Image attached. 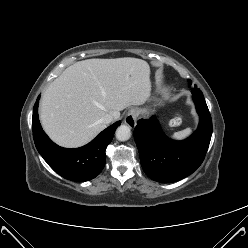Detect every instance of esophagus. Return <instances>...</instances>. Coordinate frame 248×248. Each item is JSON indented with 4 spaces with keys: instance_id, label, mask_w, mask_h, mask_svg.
Segmentation results:
<instances>
[{
    "instance_id": "obj_1",
    "label": "esophagus",
    "mask_w": 248,
    "mask_h": 248,
    "mask_svg": "<svg viewBox=\"0 0 248 248\" xmlns=\"http://www.w3.org/2000/svg\"><path fill=\"white\" fill-rule=\"evenodd\" d=\"M138 114L139 113L136 109H130L124 118L125 124L128 125L130 128H134L136 126Z\"/></svg>"
}]
</instances>
